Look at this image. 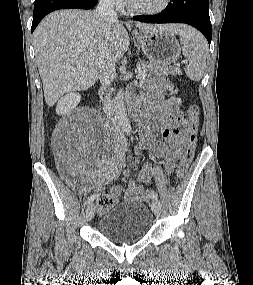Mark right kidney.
<instances>
[{"mask_svg":"<svg viewBox=\"0 0 253 285\" xmlns=\"http://www.w3.org/2000/svg\"><path fill=\"white\" fill-rule=\"evenodd\" d=\"M80 102V95L78 93L72 92L67 93L65 96L57 103L56 112L57 114H65L71 109H73Z\"/></svg>","mask_w":253,"mask_h":285,"instance_id":"1","label":"right kidney"}]
</instances>
